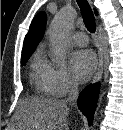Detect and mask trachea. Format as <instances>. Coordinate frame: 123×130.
<instances>
[{"label":"trachea","instance_id":"obj_1","mask_svg":"<svg viewBox=\"0 0 123 130\" xmlns=\"http://www.w3.org/2000/svg\"><path fill=\"white\" fill-rule=\"evenodd\" d=\"M76 1L83 15V19L87 30L91 33H94L96 29V23L92 9L88 1L87 0H76Z\"/></svg>","mask_w":123,"mask_h":130}]
</instances>
